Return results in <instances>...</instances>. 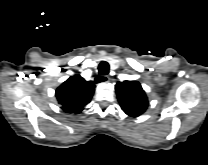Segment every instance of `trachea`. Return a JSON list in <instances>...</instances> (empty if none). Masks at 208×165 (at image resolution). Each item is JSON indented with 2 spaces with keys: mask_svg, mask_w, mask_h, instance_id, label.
Instances as JSON below:
<instances>
[{
  "mask_svg": "<svg viewBox=\"0 0 208 165\" xmlns=\"http://www.w3.org/2000/svg\"><path fill=\"white\" fill-rule=\"evenodd\" d=\"M98 71H99V74L100 75H106L108 74L109 72V64L108 62L106 61H102L99 66H98ZM100 82L98 79H97V83Z\"/></svg>",
  "mask_w": 208,
  "mask_h": 165,
  "instance_id": "1",
  "label": "trachea"
}]
</instances>
